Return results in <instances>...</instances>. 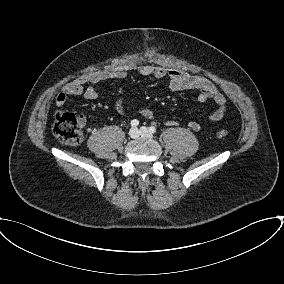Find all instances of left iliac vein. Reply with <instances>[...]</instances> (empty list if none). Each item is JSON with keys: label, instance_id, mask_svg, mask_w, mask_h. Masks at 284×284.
Wrapping results in <instances>:
<instances>
[{"label": "left iliac vein", "instance_id": "1", "mask_svg": "<svg viewBox=\"0 0 284 284\" xmlns=\"http://www.w3.org/2000/svg\"><path fill=\"white\" fill-rule=\"evenodd\" d=\"M139 133H140V135H142L144 137H147V138H152L153 137V135L150 132V130L148 128H146V127H141L139 129Z\"/></svg>", "mask_w": 284, "mask_h": 284}]
</instances>
